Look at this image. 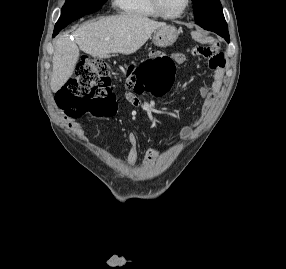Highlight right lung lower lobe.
Wrapping results in <instances>:
<instances>
[{"label": "right lung lower lobe", "instance_id": "right-lung-lower-lobe-1", "mask_svg": "<svg viewBox=\"0 0 286 269\" xmlns=\"http://www.w3.org/2000/svg\"><path fill=\"white\" fill-rule=\"evenodd\" d=\"M59 31H54L53 37H55L58 34Z\"/></svg>", "mask_w": 286, "mask_h": 269}]
</instances>
